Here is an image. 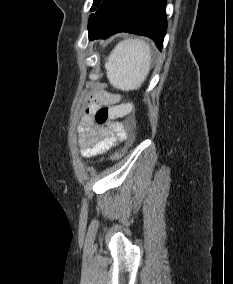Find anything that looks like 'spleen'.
Returning a JSON list of instances; mask_svg holds the SVG:
<instances>
[{
	"label": "spleen",
	"mask_w": 233,
	"mask_h": 284,
	"mask_svg": "<svg viewBox=\"0 0 233 284\" xmlns=\"http://www.w3.org/2000/svg\"><path fill=\"white\" fill-rule=\"evenodd\" d=\"M151 61V49L145 41L126 39L118 43L107 58V78L117 89L136 90L145 81Z\"/></svg>",
	"instance_id": "spleen-1"
}]
</instances>
